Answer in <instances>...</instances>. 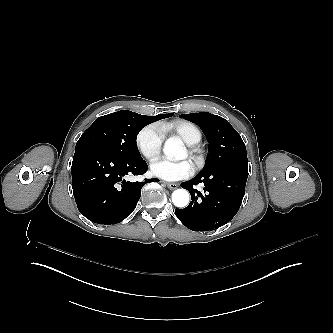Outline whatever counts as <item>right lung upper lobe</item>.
Listing matches in <instances>:
<instances>
[{
  "mask_svg": "<svg viewBox=\"0 0 333 333\" xmlns=\"http://www.w3.org/2000/svg\"><path fill=\"white\" fill-rule=\"evenodd\" d=\"M163 114H160V115H156V116H149L151 120L153 121H157L159 120V118L162 116Z\"/></svg>",
  "mask_w": 333,
  "mask_h": 333,
  "instance_id": "obj_1",
  "label": "right lung upper lobe"
}]
</instances>
